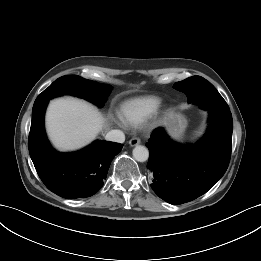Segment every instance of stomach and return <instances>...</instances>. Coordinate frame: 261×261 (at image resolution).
<instances>
[{
    "mask_svg": "<svg viewBox=\"0 0 261 261\" xmlns=\"http://www.w3.org/2000/svg\"><path fill=\"white\" fill-rule=\"evenodd\" d=\"M164 124L168 127L169 134L176 140H181L187 126L186 118L173 111L166 114L163 120Z\"/></svg>",
    "mask_w": 261,
    "mask_h": 261,
    "instance_id": "0dacf381",
    "label": "stomach"
}]
</instances>
